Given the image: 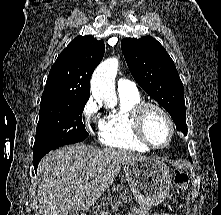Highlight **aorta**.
<instances>
[{
    "mask_svg": "<svg viewBox=\"0 0 221 215\" xmlns=\"http://www.w3.org/2000/svg\"><path fill=\"white\" fill-rule=\"evenodd\" d=\"M118 66L117 58H109L96 68L91 78L92 95L96 101L103 103L106 108L114 109L117 103L115 77Z\"/></svg>",
    "mask_w": 221,
    "mask_h": 215,
    "instance_id": "762f6f07",
    "label": "aorta"
}]
</instances>
